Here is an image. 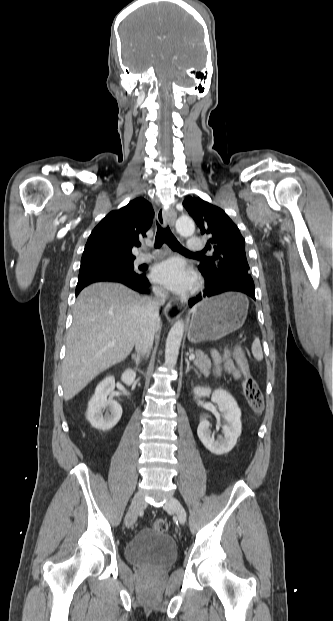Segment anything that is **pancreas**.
Listing matches in <instances>:
<instances>
[{"label": "pancreas", "instance_id": "obj_1", "mask_svg": "<svg viewBox=\"0 0 333 621\" xmlns=\"http://www.w3.org/2000/svg\"><path fill=\"white\" fill-rule=\"evenodd\" d=\"M190 353L196 356L194 365L200 370V372L208 376L210 374L211 361L208 356L201 350H190Z\"/></svg>", "mask_w": 333, "mask_h": 621}]
</instances>
